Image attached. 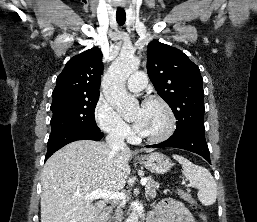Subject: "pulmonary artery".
<instances>
[{
    "label": "pulmonary artery",
    "mask_w": 257,
    "mask_h": 222,
    "mask_svg": "<svg viewBox=\"0 0 257 222\" xmlns=\"http://www.w3.org/2000/svg\"><path fill=\"white\" fill-rule=\"evenodd\" d=\"M147 84V77L143 71L133 73L128 81L127 87L130 91L138 92L141 91Z\"/></svg>",
    "instance_id": "e3ab8cb5"
}]
</instances>
